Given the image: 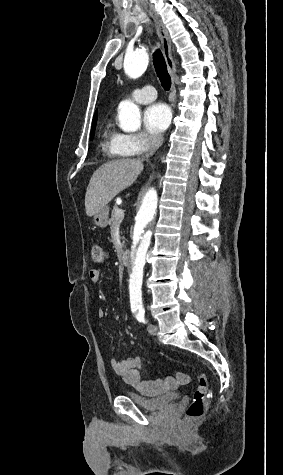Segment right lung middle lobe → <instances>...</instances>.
I'll use <instances>...</instances> for the list:
<instances>
[{"label":"right lung middle lobe","mask_w":283,"mask_h":475,"mask_svg":"<svg viewBox=\"0 0 283 475\" xmlns=\"http://www.w3.org/2000/svg\"><path fill=\"white\" fill-rule=\"evenodd\" d=\"M96 120H97V113H95L94 118H93V123H92V128H91V136H90L91 140L93 139V136H94Z\"/></svg>","instance_id":"1"}]
</instances>
